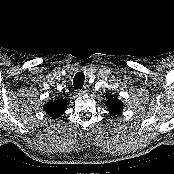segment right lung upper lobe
<instances>
[{"mask_svg": "<svg viewBox=\"0 0 174 174\" xmlns=\"http://www.w3.org/2000/svg\"><path fill=\"white\" fill-rule=\"evenodd\" d=\"M67 101V99L50 100L44 105V111L48 116L56 119L65 112Z\"/></svg>", "mask_w": 174, "mask_h": 174, "instance_id": "right-lung-upper-lobe-1", "label": "right lung upper lobe"}]
</instances>
